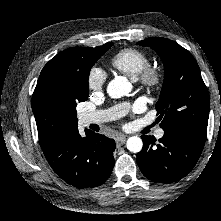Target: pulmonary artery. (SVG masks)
<instances>
[{
    "mask_svg": "<svg viewBox=\"0 0 221 221\" xmlns=\"http://www.w3.org/2000/svg\"><path fill=\"white\" fill-rule=\"evenodd\" d=\"M125 105H121L108 110H99L90 113H83L80 116V123L83 126H88L90 124H97L114 119L117 115L121 114L124 111ZM156 138L160 139L164 136V130L158 129L155 132Z\"/></svg>",
    "mask_w": 221,
    "mask_h": 221,
    "instance_id": "1",
    "label": "pulmonary artery"
}]
</instances>
